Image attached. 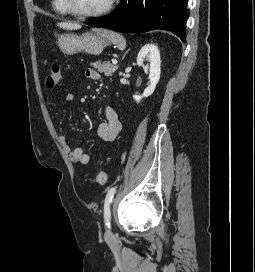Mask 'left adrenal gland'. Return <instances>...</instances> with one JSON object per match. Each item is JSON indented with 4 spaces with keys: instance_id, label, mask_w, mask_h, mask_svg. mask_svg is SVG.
I'll return each instance as SVG.
<instances>
[{
    "instance_id": "left-adrenal-gland-1",
    "label": "left adrenal gland",
    "mask_w": 255,
    "mask_h": 272,
    "mask_svg": "<svg viewBox=\"0 0 255 272\" xmlns=\"http://www.w3.org/2000/svg\"><path fill=\"white\" fill-rule=\"evenodd\" d=\"M127 53V52H126ZM126 53L123 55V58L125 57Z\"/></svg>"
}]
</instances>
